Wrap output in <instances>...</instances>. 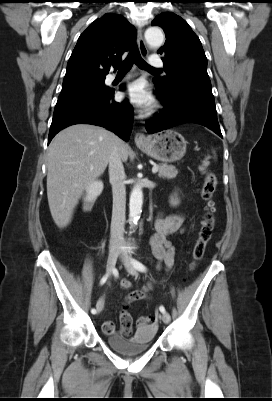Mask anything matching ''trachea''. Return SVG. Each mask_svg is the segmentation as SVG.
I'll return each mask as SVG.
<instances>
[{
    "label": "trachea",
    "mask_w": 272,
    "mask_h": 401,
    "mask_svg": "<svg viewBox=\"0 0 272 401\" xmlns=\"http://www.w3.org/2000/svg\"><path fill=\"white\" fill-rule=\"evenodd\" d=\"M136 64L140 69H145L149 71H159V69L150 67L141 57L138 48L134 46L126 59L117 65V68L119 70V73H127L133 64Z\"/></svg>",
    "instance_id": "3493384b"
}]
</instances>
